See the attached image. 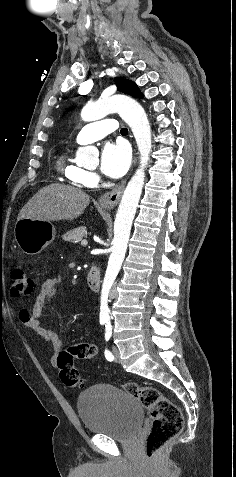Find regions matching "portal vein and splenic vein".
<instances>
[{"label": "portal vein and splenic vein", "mask_w": 236, "mask_h": 477, "mask_svg": "<svg viewBox=\"0 0 236 477\" xmlns=\"http://www.w3.org/2000/svg\"><path fill=\"white\" fill-rule=\"evenodd\" d=\"M87 244H88V241H87V240L84 239V240L81 241V245H82V246H87Z\"/></svg>", "instance_id": "18ae733b"}]
</instances>
